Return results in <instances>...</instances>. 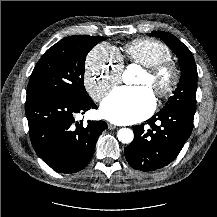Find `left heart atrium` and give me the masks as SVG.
I'll use <instances>...</instances> for the list:
<instances>
[{
	"label": "left heart atrium",
	"instance_id": "left-heart-atrium-1",
	"mask_svg": "<svg viewBox=\"0 0 217 217\" xmlns=\"http://www.w3.org/2000/svg\"><path fill=\"white\" fill-rule=\"evenodd\" d=\"M154 108V97L147 86H124L113 90L102 102V116L117 124L146 118Z\"/></svg>",
	"mask_w": 217,
	"mask_h": 217
}]
</instances>
